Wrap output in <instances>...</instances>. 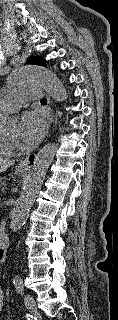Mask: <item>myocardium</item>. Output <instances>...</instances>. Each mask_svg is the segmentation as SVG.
Here are the masks:
<instances>
[{"instance_id": "f54148a6", "label": "myocardium", "mask_w": 118, "mask_h": 320, "mask_svg": "<svg viewBox=\"0 0 118 320\" xmlns=\"http://www.w3.org/2000/svg\"><path fill=\"white\" fill-rule=\"evenodd\" d=\"M8 140L12 143V144H15L16 143V140L14 138H10V137H7Z\"/></svg>"}]
</instances>
